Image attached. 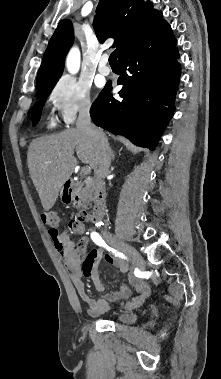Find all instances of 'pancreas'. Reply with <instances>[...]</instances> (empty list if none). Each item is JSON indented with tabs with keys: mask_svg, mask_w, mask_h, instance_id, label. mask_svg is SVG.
I'll return each mask as SVG.
<instances>
[{
	"mask_svg": "<svg viewBox=\"0 0 221 379\" xmlns=\"http://www.w3.org/2000/svg\"><path fill=\"white\" fill-rule=\"evenodd\" d=\"M81 193L85 197H90L91 198L92 193H93V187H92V183H91L90 180L86 181V187L81 190Z\"/></svg>",
	"mask_w": 221,
	"mask_h": 379,
	"instance_id": "cf45deb5",
	"label": "pancreas"
}]
</instances>
